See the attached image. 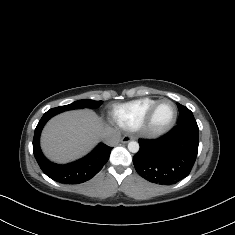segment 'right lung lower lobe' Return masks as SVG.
Here are the masks:
<instances>
[{"label":"right lung lower lobe","instance_id":"obj_1","mask_svg":"<svg viewBox=\"0 0 235 235\" xmlns=\"http://www.w3.org/2000/svg\"><path fill=\"white\" fill-rule=\"evenodd\" d=\"M56 114L58 113H55L52 109L47 111L42 116L35 129L33 153L36 161L38 162L41 170L55 181L67 184L86 182L95 176L108 161L112 147L100 143L91 153L75 162L66 165H59L50 162L41 152L39 139L45 123Z\"/></svg>","mask_w":235,"mask_h":235}]
</instances>
